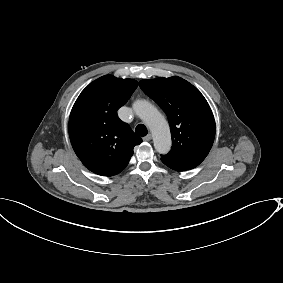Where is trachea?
<instances>
[{
	"instance_id": "trachea-1",
	"label": "trachea",
	"mask_w": 283,
	"mask_h": 283,
	"mask_svg": "<svg viewBox=\"0 0 283 283\" xmlns=\"http://www.w3.org/2000/svg\"><path fill=\"white\" fill-rule=\"evenodd\" d=\"M135 132H136L137 135L144 137V136L147 135L148 130H147V128L144 124H139L135 128Z\"/></svg>"
}]
</instances>
